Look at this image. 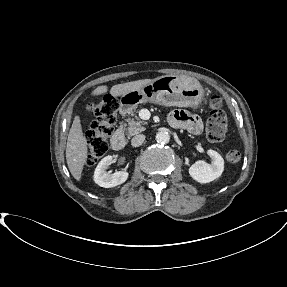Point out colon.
I'll return each instance as SVG.
<instances>
[{
    "instance_id": "colon-1",
    "label": "colon",
    "mask_w": 287,
    "mask_h": 287,
    "mask_svg": "<svg viewBox=\"0 0 287 287\" xmlns=\"http://www.w3.org/2000/svg\"><path fill=\"white\" fill-rule=\"evenodd\" d=\"M119 102L116 97L106 95L91 102L89 110L95 121L87 132L88 156L87 165H95L108 150V141L116 129ZM227 132V117L222 108V100L218 95L210 99V113L207 122V137L213 142L221 141ZM227 161L235 164L241 159L238 149H230L226 154Z\"/></svg>"
}]
</instances>
